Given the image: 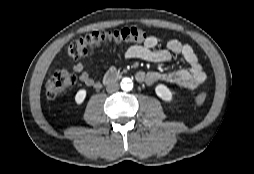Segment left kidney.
I'll use <instances>...</instances> for the list:
<instances>
[{"instance_id":"left-kidney-1","label":"left kidney","mask_w":254,"mask_h":174,"mask_svg":"<svg viewBox=\"0 0 254 174\" xmlns=\"http://www.w3.org/2000/svg\"><path fill=\"white\" fill-rule=\"evenodd\" d=\"M155 92L159 98H161L164 101L170 102L173 99L172 92L170 89L163 85L159 84L155 87Z\"/></svg>"}]
</instances>
